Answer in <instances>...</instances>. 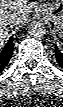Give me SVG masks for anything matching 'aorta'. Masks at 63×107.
<instances>
[{
    "instance_id": "1",
    "label": "aorta",
    "mask_w": 63,
    "mask_h": 107,
    "mask_svg": "<svg viewBox=\"0 0 63 107\" xmlns=\"http://www.w3.org/2000/svg\"><path fill=\"white\" fill-rule=\"evenodd\" d=\"M28 34L33 38H41L46 34V26L41 21H32L28 26Z\"/></svg>"
}]
</instances>
